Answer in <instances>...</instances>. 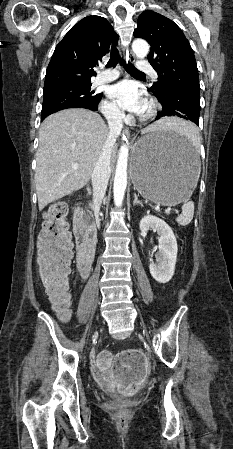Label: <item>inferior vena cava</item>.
Returning a JSON list of instances; mask_svg holds the SVG:
<instances>
[{
    "instance_id": "1",
    "label": "inferior vena cava",
    "mask_w": 233,
    "mask_h": 449,
    "mask_svg": "<svg viewBox=\"0 0 233 449\" xmlns=\"http://www.w3.org/2000/svg\"><path fill=\"white\" fill-rule=\"evenodd\" d=\"M124 113L113 111L107 118L109 133L98 157L92 173L93 204L95 206V217L97 226H100L99 210L104 199L108 181L111 175L112 148L120 135L123 127Z\"/></svg>"
}]
</instances>
